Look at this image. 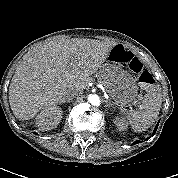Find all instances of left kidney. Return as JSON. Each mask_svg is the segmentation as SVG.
Here are the masks:
<instances>
[{"label": "left kidney", "instance_id": "1", "mask_svg": "<svg viewBox=\"0 0 178 178\" xmlns=\"http://www.w3.org/2000/svg\"><path fill=\"white\" fill-rule=\"evenodd\" d=\"M113 121L119 131H124L127 128V123L123 118L116 117Z\"/></svg>", "mask_w": 178, "mask_h": 178}]
</instances>
